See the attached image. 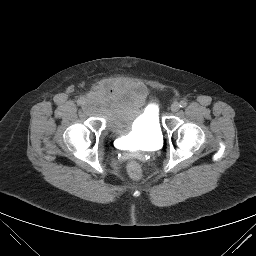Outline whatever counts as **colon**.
I'll use <instances>...</instances> for the list:
<instances>
[{"label":"colon","mask_w":256,"mask_h":256,"mask_svg":"<svg viewBox=\"0 0 256 256\" xmlns=\"http://www.w3.org/2000/svg\"><path fill=\"white\" fill-rule=\"evenodd\" d=\"M127 171L133 180H140L143 176L141 166L136 161L129 162Z\"/></svg>","instance_id":"5ec220e1"}]
</instances>
